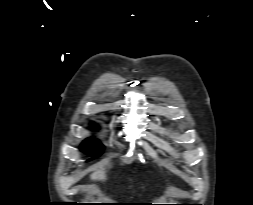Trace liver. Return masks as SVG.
<instances>
[{
    "mask_svg": "<svg viewBox=\"0 0 253 205\" xmlns=\"http://www.w3.org/2000/svg\"><path fill=\"white\" fill-rule=\"evenodd\" d=\"M91 180H104L105 179V172L104 169H100L98 171L93 172L90 175Z\"/></svg>",
    "mask_w": 253,
    "mask_h": 205,
    "instance_id": "liver-1",
    "label": "liver"
}]
</instances>
